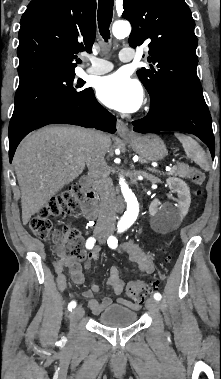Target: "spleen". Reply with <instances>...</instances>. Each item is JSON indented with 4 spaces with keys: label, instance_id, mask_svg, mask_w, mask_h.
<instances>
[{
    "label": "spleen",
    "instance_id": "3e777b00",
    "mask_svg": "<svg viewBox=\"0 0 221 379\" xmlns=\"http://www.w3.org/2000/svg\"><path fill=\"white\" fill-rule=\"evenodd\" d=\"M175 136L181 142L187 157L193 160L197 165L205 171L209 170V164L207 161L204 150L199 144L191 137L176 133Z\"/></svg>",
    "mask_w": 221,
    "mask_h": 379
}]
</instances>
